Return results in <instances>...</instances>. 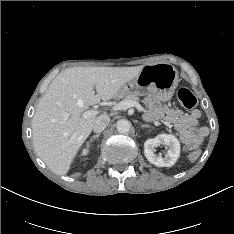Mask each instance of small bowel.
Here are the masks:
<instances>
[{
    "mask_svg": "<svg viewBox=\"0 0 234 234\" xmlns=\"http://www.w3.org/2000/svg\"><path fill=\"white\" fill-rule=\"evenodd\" d=\"M146 118L152 122L164 121L174 125L180 140L189 148L200 144L208 135V128L198 127L201 116L199 110L195 109L190 113L175 108H170L162 104L155 96L149 95L146 100Z\"/></svg>",
    "mask_w": 234,
    "mask_h": 234,
    "instance_id": "obj_1",
    "label": "small bowel"
}]
</instances>
